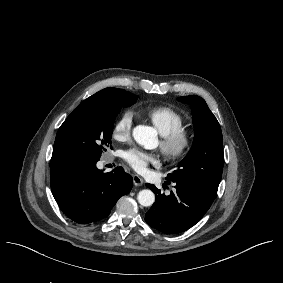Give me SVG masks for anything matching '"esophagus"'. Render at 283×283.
<instances>
[{"label": "esophagus", "instance_id": "1", "mask_svg": "<svg viewBox=\"0 0 283 283\" xmlns=\"http://www.w3.org/2000/svg\"><path fill=\"white\" fill-rule=\"evenodd\" d=\"M133 184L135 186H142L144 184L143 179H141L138 175H133Z\"/></svg>", "mask_w": 283, "mask_h": 283}]
</instances>
